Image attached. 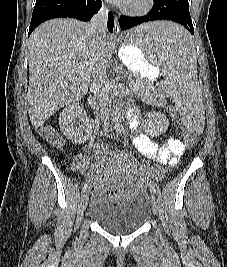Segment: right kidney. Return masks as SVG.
I'll return each instance as SVG.
<instances>
[{
  "instance_id": "1",
  "label": "right kidney",
  "mask_w": 227,
  "mask_h": 267,
  "mask_svg": "<svg viewBox=\"0 0 227 267\" xmlns=\"http://www.w3.org/2000/svg\"><path fill=\"white\" fill-rule=\"evenodd\" d=\"M59 125L69 140L83 144L91 138L94 123L87 118L86 111L81 104L71 103L60 113Z\"/></svg>"
}]
</instances>
